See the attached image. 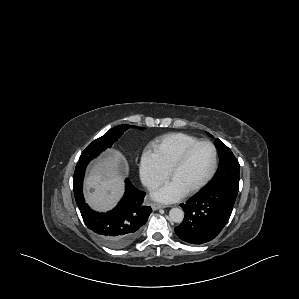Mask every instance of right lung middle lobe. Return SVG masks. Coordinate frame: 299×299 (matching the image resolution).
Here are the masks:
<instances>
[{
	"label": "right lung middle lobe",
	"mask_w": 299,
	"mask_h": 299,
	"mask_svg": "<svg viewBox=\"0 0 299 299\" xmlns=\"http://www.w3.org/2000/svg\"><path fill=\"white\" fill-rule=\"evenodd\" d=\"M129 125H119L110 129L105 135L94 140L81 154L80 160L93 159L103 150L110 148L112 144L121 137Z\"/></svg>",
	"instance_id": "right-lung-middle-lobe-1"
}]
</instances>
